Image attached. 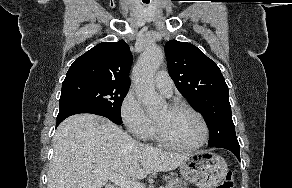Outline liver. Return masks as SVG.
<instances>
[{
	"label": "liver",
	"mask_w": 292,
	"mask_h": 188,
	"mask_svg": "<svg viewBox=\"0 0 292 188\" xmlns=\"http://www.w3.org/2000/svg\"><path fill=\"white\" fill-rule=\"evenodd\" d=\"M188 156L138 143L104 117L73 115L54 135L47 188H102L108 179L94 174V169L143 179L157 171L176 169Z\"/></svg>",
	"instance_id": "1"
}]
</instances>
